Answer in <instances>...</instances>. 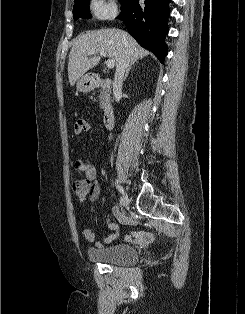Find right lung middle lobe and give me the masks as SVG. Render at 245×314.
I'll list each match as a JSON object with an SVG mask.
<instances>
[{
	"label": "right lung middle lobe",
	"instance_id": "right-lung-middle-lobe-1",
	"mask_svg": "<svg viewBox=\"0 0 245 314\" xmlns=\"http://www.w3.org/2000/svg\"><path fill=\"white\" fill-rule=\"evenodd\" d=\"M121 7L124 6L129 0H120ZM74 19L90 18L89 0H77L73 6Z\"/></svg>",
	"mask_w": 245,
	"mask_h": 314
}]
</instances>
